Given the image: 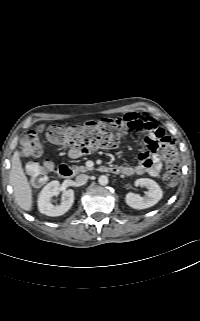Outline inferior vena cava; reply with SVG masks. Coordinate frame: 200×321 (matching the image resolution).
I'll return each instance as SVG.
<instances>
[{
	"mask_svg": "<svg viewBox=\"0 0 200 321\" xmlns=\"http://www.w3.org/2000/svg\"><path fill=\"white\" fill-rule=\"evenodd\" d=\"M88 175H86V174H80V175H78V176H76V183L78 184V185H84V184H86L87 183V181H88Z\"/></svg>",
	"mask_w": 200,
	"mask_h": 321,
	"instance_id": "obj_1",
	"label": "inferior vena cava"
}]
</instances>
